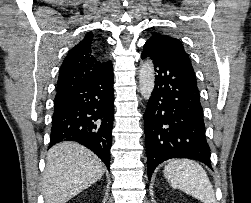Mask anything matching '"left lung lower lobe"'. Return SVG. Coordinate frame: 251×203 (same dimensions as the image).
<instances>
[{
  "label": "left lung lower lobe",
  "instance_id": "obj_1",
  "mask_svg": "<svg viewBox=\"0 0 251 203\" xmlns=\"http://www.w3.org/2000/svg\"><path fill=\"white\" fill-rule=\"evenodd\" d=\"M153 60L155 87L144 114L148 179L171 158L198 160L211 168L203 110L193 68L146 42L141 58Z\"/></svg>",
  "mask_w": 251,
  "mask_h": 203
}]
</instances>
